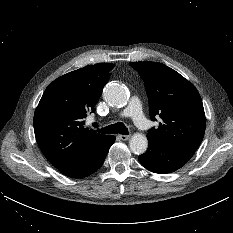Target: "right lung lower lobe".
I'll return each mask as SVG.
<instances>
[{
  "label": "right lung lower lobe",
  "instance_id": "98d812e1",
  "mask_svg": "<svg viewBox=\"0 0 233 233\" xmlns=\"http://www.w3.org/2000/svg\"><path fill=\"white\" fill-rule=\"evenodd\" d=\"M114 141L115 137L110 136L101 148L74 165L61 169V173L72 178H82L91 175L101 167Z\"/></svg>",
  "mask_w": 233,
  "mask_h": 233
}]
</instances>
